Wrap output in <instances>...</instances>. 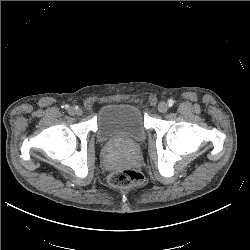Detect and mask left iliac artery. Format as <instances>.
Returning <instances> with one entry per match:
<instances>
[{"mask_svg":"<svg viewBox=\"0 0 250 250\" xmlns=\"http://www.w3.org/2000/svg\"><path fill=\"white\" fill-rule=\"evenodd\" d=\"M174 103H175V101H174L173 99H169V100H168V105H169L170 107L173 106Z\"/></svg>","mask_w":250,"mask_h":250,"instance_id":"obj_1","label":"left iliac artery"}]
</instances>
